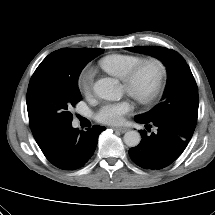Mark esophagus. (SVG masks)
Segmentation results:
<instances>
[{"mask_svg":"<svg viewBox=\"0 0 215 215\" xmlns=\"http://www.w3.org/2000/svg\"><path fill=\"white\" fill-rule=\"evenodd\" d=\"M113 129H114L115 131H119V132H121V133H125V132L128 131V128H126V127H114Z\"/></svg>","mask_w":215,"mask_h":215,"instance_id":"1","label":"esophagus"}]
</instances>
